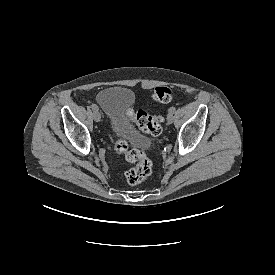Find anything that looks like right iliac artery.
Returning a JSON list of instances; mask_svg holds the SVG:
<instances>
[{
    "label": "right iliac artery",
    "instance_id": "obj_1",
    "mask_svg": "<svg viewBox=\"0 0 275 275\" xmlns=\"http://www.w3.org/2000/svg\"><path fill=\"white\" fill-rule=\"evenodd\" d=\"M91 108H92L93 110L98 109V107H97L95 104H92V105H91Z\"/></svg>",
    "mask_w": 275,
    "mask_h": 275
}]
</instances>
